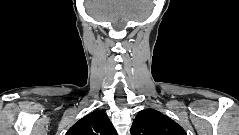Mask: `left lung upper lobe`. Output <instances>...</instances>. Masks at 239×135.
Instances as JSON below:
<instances>
[{
	"label": "left lung upper lobe",
	"instance_id": "5c2ea615",
	"mask_svg": "<svg viewBox=\"0 0 239 135\" xmlns=\"http://www.w3.org/2000/svg\"><path fill=\"white\" fill-rule=\"evenodd\" d=\"M132 135H187L174 120L154 109L140 111L131 127Z\"/></svg>",
	"mask_w": 239,
	"mask_h": 135
}]
</instances>
